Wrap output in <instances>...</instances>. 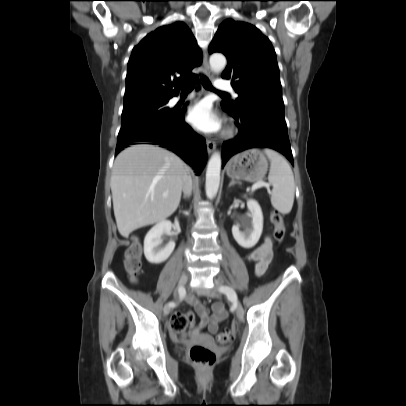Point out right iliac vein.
<instances>
[{
	"instance_id": "63e3f726",
	"label": "right iliac vein",
	"mask_w": 406,
	"mask_h": 406,
	"mask_svg": "<svg viewBox=\"0 0 406 406\" xmlns=\"http://www.w3.org/2000/svg\"><path fill=\"white\" fill-rule=\"evenodd\" d=\"M187 280H188L187 274H182L180 279H179L178 286L179 287H184L185 284L187 283ZM170 310H171V307L169 306V304H166L164 306V309H163L164 315H168L170 313Z\"/></svg>"
}]
</instances>
